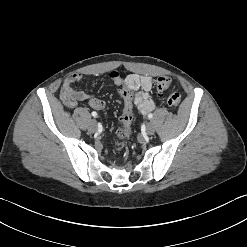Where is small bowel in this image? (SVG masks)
I'll return each mask as SVG.
<instances>
[{"instance_id":"1","label":"small bowel","mask_w":247,"mask_h":247,"mask_svg":"<svg viewBox=\"0 0 247 247\" xmlns=\"http://www.w3.org/2000/svg\"><path fill=\"white\" fill-rule=\"evenodd\" d=\"M81 80L79 74L69 75L63 82L60 97L68 108L76 107L79 101H88L90 107L96 110H103L105 102L101 99L86 94L84 91L77 89L76 84ZM131 86L133 94V107L136 108L140 115H146L155 108V102L151 97L153 80L147 75L129 74L124 78Z\"/></svg>"}]
</instances>
